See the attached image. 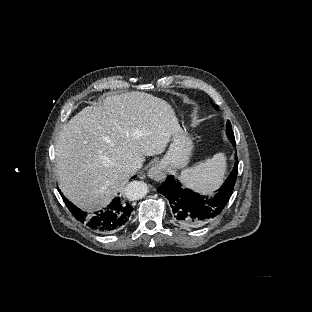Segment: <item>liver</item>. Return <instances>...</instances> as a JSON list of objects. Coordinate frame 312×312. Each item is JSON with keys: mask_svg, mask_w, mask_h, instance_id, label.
Here are the masks:
<instances>
[{"mask_svg": "<svg viewBox=\"0 0 312 312\" xmlns=\"http://www.w3.org/2000/svg\"><path fill=\"white\" fill-rule=\"evenodd\" d=\"M181 129L165 100L132 91L106 96L63 125L55 142L59 188L83 211L109 205L137 159L162 153Z\"/></svg>", "mask_w": 312, "mask_h": 312, "instance_id": "liver-1", "label": "liver"}]
</instances>
